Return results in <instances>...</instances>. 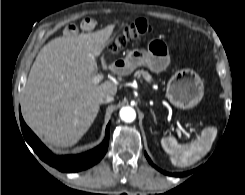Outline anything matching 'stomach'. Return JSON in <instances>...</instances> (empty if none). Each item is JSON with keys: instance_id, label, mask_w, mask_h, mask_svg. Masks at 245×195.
<instances>
[{"instance_id": "obj_1", "label": "stomach", "mask_w": 245, "mask_h": 195, "mask_svg": "<svg viewBox=\"0 0 245 195\" xmlns=\"http://www.w3.org/2000/svg\"><path fill=\"white\" fill-rule=\"evenodd\" d=\"M168 63V46L161 40H154L147 50L133 49L125 58L115 60L112 67L118 75H128L140 66H146L158 73L165 70ZM203 94V81L196 72L188 68L177 71L166 88L169 101L182 109L196 106L203 98Z\"/></svg>"}]
</instances>
